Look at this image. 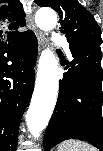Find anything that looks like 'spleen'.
<instances>
[{
    "label": "spleen",
    "mask_w": 103,
    "mask_h": 151,
    "mask_svg": "<svg viewBox=\"0 0 103 151\" xmlns=\"http://www.w3.org/2000/svg\"><path fill=\"white\" fill-rule=\"evenodd\" d=\"M57 151H96V148L86 142L71 139L62 142L58 146Z\"/></svg>",
    "instance_id": "1"
}]
</instances>
